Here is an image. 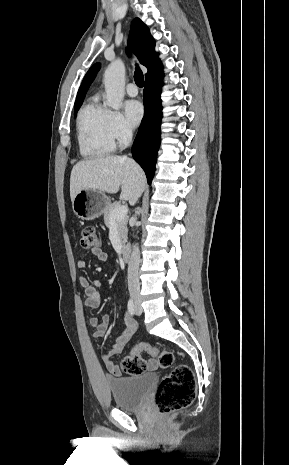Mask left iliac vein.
Instances as JSON below:
<instances>
[{"label":"left iliac vein","mask_w":289,"mask_h":465,"mask_svg":"<svg viewBox=\"0 0 289 465\" xmlns=\"http://www.w3.org/2000/svg\"><path fill=\"white\" fill-rule=\"evenodd\" d=\"M141 313V308L139 306L136 307V314L139 315Z\"/></svg>","instance_id":"1"}]
</instances>
